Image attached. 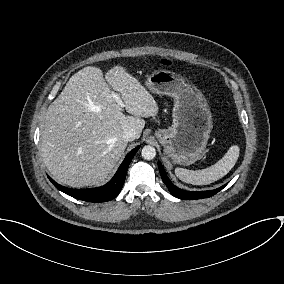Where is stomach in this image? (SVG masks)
Masks as SVG:
<instances>
[{"label": "stomach", "mask_w": 284, "mask_h": 284, "mask_svg": "<svg viewBox=\"0 0 284 284\" xmlns=\"http://www.w3.org/2000/svg\"><path fill=\"white\" fill-rule=\"evenodd\" d=\"M146 85L152 92L174 98L172 126L155 131L165 157L175 164H193L205 152L213 127L207 100L188 79L168 70L154 71Z\"/></svg>", "instance_id": "stomach-1"}]
</instances>
